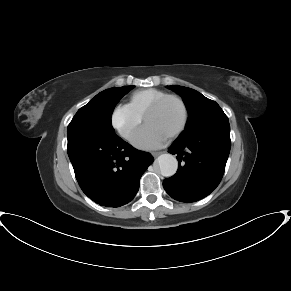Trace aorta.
Instances as JSON below:
<instances>
[{
  "label": "aorta",
  "mask_w": 291,
  "mask_h": 291,
  "mask_svg": "<svg viewBox=\"0 0 291 291\" xmlns=\"http://www.w3.org/2000/svg\"><path fill=\"white\" fill-rule=\"evenodd\" d=\"M160 172L165 177L173 176L178 168V161L172 154L165 153L157 158Z\"/></svg>",
  "instance_id": "aorta-1"
}]
</instances>
